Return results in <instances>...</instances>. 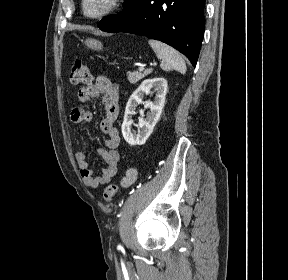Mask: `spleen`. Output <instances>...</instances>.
<instances>
[{"mask_svg":"<svg viewBox=\"0 0 288 280\" xmlns=\"http://www.w3.org/2000/svg\"><path fill=\"white\" fill-rule=\"evenodd\" d=\"M149 45L161 60L160 67L165 70H176L182 74L186 72V64L181 55L171 46L157 40H149Z\"/></svg>","mask_w":288,"mask_h":280,"instance_id":"spleen-1","label":"spleen"}]
</instances>
